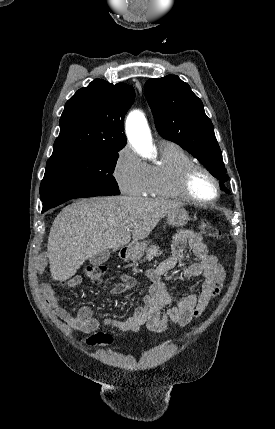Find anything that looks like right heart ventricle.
Returning a JSON list of instances; mask_svg holds the SVG:
<instances>
[{
    "label": "right heart ventricle",
    "instance_id": "right-heart-ventricle-1",
    "mask_svg": "<svg viewBox=\"0 0 275 429\" xmlns=\"http://www.w3.org/2000/svg\"><path fill=\"white\" fill-rule=\"evenodd\" d=\"M194 159L179 145L163 142L160 145V159L149 166V182L145 195L160 199L184 200L179 179L183 170Z\"/></svg>",
    "mask_w": 275,
    "mask_h": 429
}]
</instances>
